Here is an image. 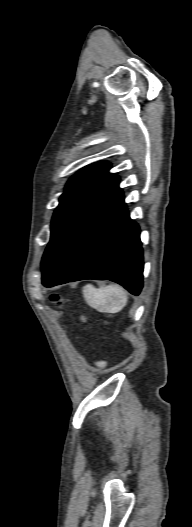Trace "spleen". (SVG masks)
I'll list each match as a JSON object with an SVG mask.
<instances>
[{
    "label": "spleen",
    "instance_id": "spleen-1",
    "mask_svg": "<svg viewBox=\"0 0 192 527\" xmlns=\"http://www.w3.org/2000/svg\"><path fill=\"white\" fill-rule=\"evenodd\" d=\"M83 296L90 307L107 313L121 311L128 299L125 290L117 285L95 288L87 284L83 287Z\"/></svg>",
    "mask_w": 192,
    "mask_h": 527
}]
</instances>
